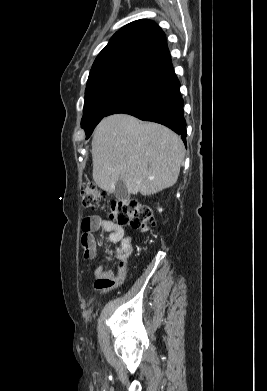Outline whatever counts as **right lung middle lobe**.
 Here are the masks:
<instances>
[{"instance_id": "1", "label": "right lung middle lobe", "mask_w": 267, "mask_h": 391, "mask_svg": "<svg viewBox=\"0 0 267 391\" xmlns=\"http://www.w3.org/2000/svg\"><path fill=\"white\" fill-rule=\"evenodd\" d=\"M150 75L117 72L87 82L84 114L81 126L90 137L95 126L108 115L113 107L144 85Z\"/></svg>"}]
</instances>
